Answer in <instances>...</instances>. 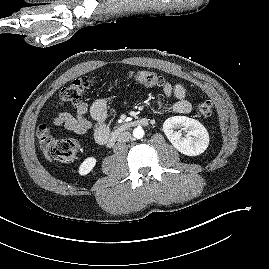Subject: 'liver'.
<instances>
[{
    "label": "liver",
    "mask_w": 269,
    "mask_h": 269,
    "mask_svg": "<svg viewBox=\"0 0 269 269\" xmlns=\"http://www.w3.org/2000/svg\"><path fill=\"white\" fill-rule=\"evenodd\" d=\"M43 153H44V156L45 158L48 160V161H52L51 157L48 155L47 151L45 150V148L43 149Z\"/></svg>",
    "instance_id": "obj_1"
}]
</instances>
